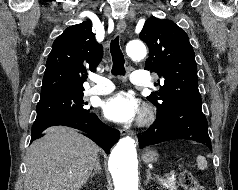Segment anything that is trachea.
<instances>
[{
    "label": "trachea",
    "mask_w": 238,
    "mask_h": 190,
    "mask_svg": "<svg viewBox=\"0 0 238 190\" xmlns=\"http://www.w3.org/2000/svg\"><path fill=\"white\" fill-rule=\"evenodd\" d=\"M111 55H112V74L113 75H125V67H124V56L119 47V36H117L114 40H112L110 44Z\"/></svg>",
    "instance_id": "trachea-1"
}]
</instances>
